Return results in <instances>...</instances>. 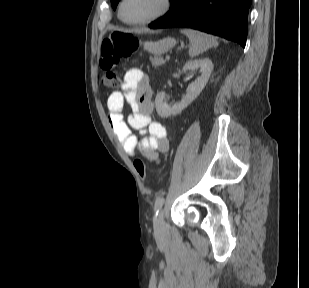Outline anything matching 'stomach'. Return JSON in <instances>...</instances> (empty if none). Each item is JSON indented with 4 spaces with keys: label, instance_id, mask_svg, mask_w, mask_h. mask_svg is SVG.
<instances>
[{
    "label": "stomach",
    "instance_id": "stomach-1",
    "mask_svg": "<svg viewBox=\"0 0 309 288\" xmlns=\"http://www.w3.org/2000/svg\"><path fill=\"white\" fill-rule=\"evenodd\" d=\"M176 40L174 38L168 37L156 42H145L144 48L154 55H161L167 52L170 48L174 47Z\"/></svg>",
    "mask_w": 309,
    "mask_h": 288
}]
</instances>
